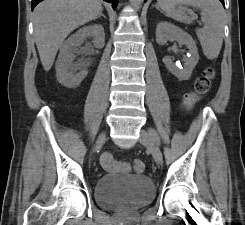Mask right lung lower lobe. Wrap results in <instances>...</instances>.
<instances>
[{"instance_id":"1","label":"right lung lower lobe","mask_w":245,"mask_h":225,"mask_svg":"<svg viewBox=\"0 0 245 225\" xmlns=\"http://www.w3.org/2000/svg\"><path fill=\"white\" fill-rule=\"evenodd\" d=\"M41 1L42 0H32V10ZM105 1H107L109 3H112V6H113L114 9L116 8V6L118 4V0H105Z\"/></svg>"}]
</instances>
